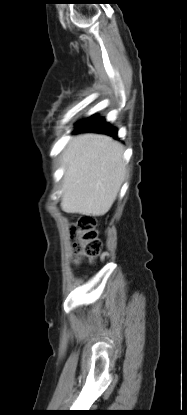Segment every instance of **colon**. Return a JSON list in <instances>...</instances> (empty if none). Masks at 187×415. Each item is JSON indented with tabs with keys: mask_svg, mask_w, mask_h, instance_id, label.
<instances>
[{
	"mask_svg": "<svg viewBox=\"0 0 187 415\" xmlns=\"http://www.w3.org/2000/svg\"><path fill=\"white\" fill-rule=\"evenodd\" d=\"M75 238V250L79 256L94 258L102 250V242L96 230V221L92 216H81L72 227Z\"/></svg>",
	"mask_w": 187,
	"mask_h": 415,
	"instance_id": "colon-1",
	"label": "colon"
}]
</instances>
